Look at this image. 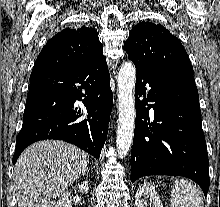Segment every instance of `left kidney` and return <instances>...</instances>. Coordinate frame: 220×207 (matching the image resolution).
Segmentation results:
<instances>
[{
    "label": "left kidney",
    "instance_id": "obj_1",
    "mask_svg": "<svg viewBox=\"0 0 220 207\" xmlns=\"http://www.w3.org/2000/svg\"><path fill=\"white\" fill-rule=\"evenodd\" d=\"M148 204L152 205V207H163L160 197L157 195L154 186L148 182H145L137 189L135 206L147 207Z\"/></svg>",
    "mask_w": 220,
    "mask_h": 207
}]
</instances>
